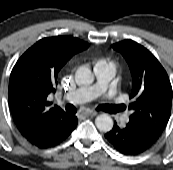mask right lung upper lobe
I'll use <instances>...</instances> for the list:
<instances>
[{
	"instance_id": "right-lung-upper-lobe-1",
	"label": "right lung upper lobe",
	"mask_w": 173,
	"mask_h": 170,
	"mask_svg": "<svg viewBox=\"0 0 173 170\" xmlns=\"http://www.w3.org/2000/svg\"><path fill=\"white\" fill-rule=\"evenodd\" d=\"M88 47L87 42L74 37H47L19 58L10 75L8 101L20 132L66 114L51 107L48 97L55 93L58 74L66 62Z\"/></svg>"
}]
</instances>
